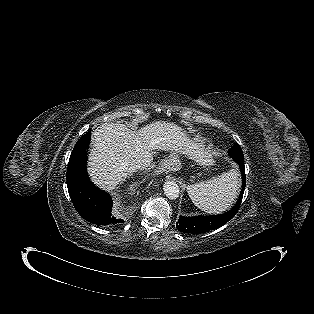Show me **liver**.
Listing matches in <instances>:
<instances>
[{
    "mask_svg": "<svg viewBox=\"0 0 314 314\" xmlns=\"http://www.w3.org/2000/svg\"><path fill=\"white\" fill-rule=\"evenodd\" d=\"M88 172L99 187L111 191L129 175L128 165L140 161L147 168L152 151L163 150L191 156L197 146L181 127L157 121L134 132L120 123H104L93 133Z\"/></svg>",
    "mask_w": 314,
    "mask_h": 314,
    "instance_id": "1",
    "label": "liver"
}]
</instances>
